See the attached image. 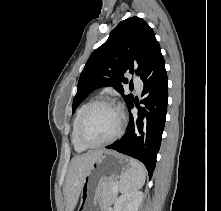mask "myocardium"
Wrapping results in <instances>:
<instances>
[{
  "mask_svg": "<svg viewBox=\"0 0 221 211\" xmlns=\"http://www.w3.org/2000/svg\"><path fill=\"white\" fill-rule=\"evenodd\" d=\"M101 105L113 107L118 111L119 117H120L119 126H118V129L116 130V132L110 138H108L104 141H100V142H90L89 140L86 139V137L84 135L85 122H86V119H87L88 115L90 114V112L94 108L101 106ZM125 123H126V118H125V114L122 111V109L117 104H115L112 100L107 99V98H100V99L92 101L88 105V107L84 110V112L80 118V122H79L78 136H79L80 141L87 147L105 146L110 143H113L122 135V133L124 131Z\"/></svg>",
  "mask_w": 221,
  "mask_h": 211,
  "instance_id": "1",
  "label": "myocardium"
}]
</instances>
